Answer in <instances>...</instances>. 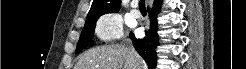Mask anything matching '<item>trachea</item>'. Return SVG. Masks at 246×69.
Returning a JSON list of instances; mask_svg holds the SVG:
<instances>
[{
	"mask_svg": "<svg viewBox=\"0 0 246 69\" xmlns=\"http://www.w3.org/2000/svg\"><path fill=\"white\" fill-rule=\"evenodd\" d=\"M139 10L140 11H146L145 0H140L139 1Z\"/></svg>",
	"mask_w": 246,
	"mask_h": 69,
	"instance_id": "trachea-1",
	"label": "trachea"
}]
</instances>
